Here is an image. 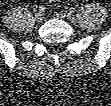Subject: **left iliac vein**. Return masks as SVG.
Listing matches in <instances>:
<instances>
[{
  "label": "left iliac vein",
  "mask_w": 111,
  "mask_h": 106,
  "mask_svg": "<svg viewBox=\"0 0 111 106\" xmlns=\"http://www.w3.org/2000/svg\"><path fill=\"white\" fill-rule=\"evenodd\" d=\"M59 15L61 17H66L70 21H74L75 20V16L72 13H70V12H61Z\"/></svg>",
  "instance_id": "left-iliac-vein-1"
}]
</instances>
